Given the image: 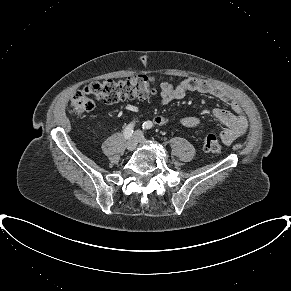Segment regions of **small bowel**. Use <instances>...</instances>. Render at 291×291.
Returning <instances> with one entry per match:
<instances>
[{"mask_svg": "<svg viewBox=\"0 0 291 291\" xmlns=\"http://www.w3.org/2000/svg\"><path fill=\"white\" fill-rule=\"evenodd\" d=\"M188 91H197L214 96L231 108V111L219 108L212 110V115L225 126V129L220 133V139L224 144H232L246 132L248 123L243 115L240 103L229 90L217 83L196 78L185 79L175 87L169 83H163L160 93L161 103L168 104L173 100H181L185 98ZM181 123L190 128H197L203 124L198 118L193 116L183 117Z\"/></svg>", "mask_w": 291, "mask_h": 291, "instance_id": "c3829d8e", "label": "small bowel"}]
</instances>
